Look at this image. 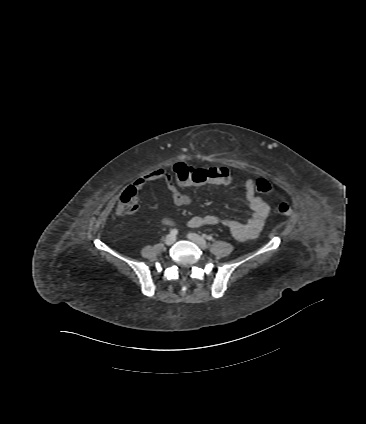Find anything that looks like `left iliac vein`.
Returning <instances> with one entry per match:
<instances>
[{
    "mask_svg": "<svg viewBox=\"0 0 366 424\" xmlns=\"http://www.w3.org/2000/svg\"><path fill=\"white\" fill-rule=\"evenodd\" d=\"M187 237L203 250L208 247L207 242L202 237H200L199 235L195 233H189Z\"/></svg>",
    "mask_w": 366,
    "mask_h": 424,
    "instance_id": "left-iliac-vein-1",
    "label": "left iliac vein"
}]
</instances>
